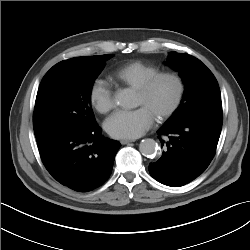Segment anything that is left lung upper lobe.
<instances>
[{
    "instance_id": "5c2ea615",
    "label": "left lung upper lobe",
    "mask_w": 250,
    "mask_h": 250,
    "mask_svg": "<svg viewBox=\"0 0 250 250\" xmlns=\"http://www.w3.org/2000/svg\"><path fill=\"white\" fill-rule=\"evenodd\" d=\"M166 64L179 72L185 91L181 104L165 124H178L189 117L222 109L218 83L200 60L186 53L171 52Z\"/></svg>"
}]
</instances>
